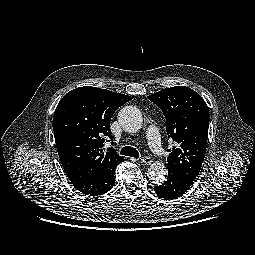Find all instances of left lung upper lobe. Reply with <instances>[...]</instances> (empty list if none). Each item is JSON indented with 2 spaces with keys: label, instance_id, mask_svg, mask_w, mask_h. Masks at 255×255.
Masks as SVG:
<instances>
[{
  "label": "left lung upper lobe",
  "instance_id": "1",
  "mask_svg": "<svg viewBox=\"0 0 255 255\" xmlns=\"http://www.w3.org/2000/svg\"><path fill=\"white\" fill-rule=\"evenodd\" d=\"M166 118L175 146L169 149L168 170L195 180L207 147L209 110L204 99L186 86H174L148 96Z\"/></svg>",
  "mask_w": 255,
  "mask_h": 255
}]
</instances>
